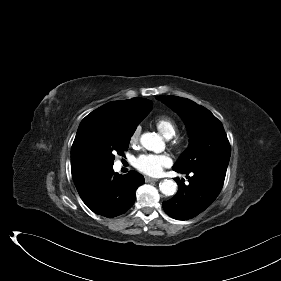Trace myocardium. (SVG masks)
Wrapping results in <instances>:
<instances>
[{
  "label": "myocardium",
  "instance_id": "1",
  "mask_svg": "<svg viewBox=\"0 0 281 281\" xmlns=\"http://www.w3.org/2000/svg\"><path fill=\"white\" fill-rule=\"evenodd\" d=\"M181 143H182V141H181L180 139H177L176 142H175V144H176L177 146H180Z\"/></svg>",
  "mask_w": 281,
  "mask_h": 281
}]
</instances>
